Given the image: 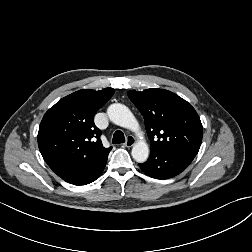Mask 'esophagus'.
Listing matches in <instances>:
<instances>
[{
	"instance_id": "obj_1",
	"label": "esophagus",
	"mask_w": 252,
	"mask_h": 252,
	"mask_svg": "<svg viewBox=\"0 0 252 252\" xmlns=\"http://www.w3.org/2000/svg\"><path fill=\"white\" fill-rule=\"evenodd\" d=\"M135 142H136V140H135L134 136L129 135V136H127V139H126V142L124 143V146L130 148L135 144Z\"/></svg>"
}]
</instances>
